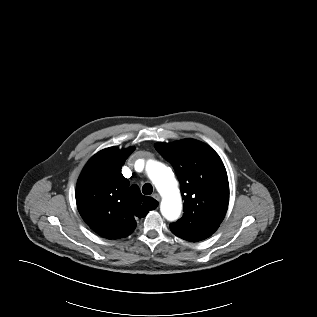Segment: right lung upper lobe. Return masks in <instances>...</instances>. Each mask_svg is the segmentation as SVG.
Listing matches in <instances>:
<instances>
[{
  "label": "right lung upper lobe",
  "mask_w": 317,
  "mask_h": 317,
  "mask_svg": "<svg viewBox=\"0 0 317 317\" xmlns=\"http://www.w3.org/2000/svg\"><path fill=\"white\" fill-rule=\"evenodd\" d=\"M134 151L106 148L95 154L82 170L76 187V203L87 225L100 236L119 239L130 235L136 220L158 202L143 196L137 185L129 187L121 168Z\"/></svg>",
  "instance_id": "right-lung-upper-lobe-1"
}]
</instances>
